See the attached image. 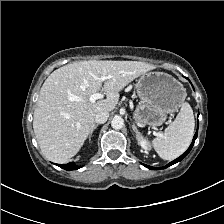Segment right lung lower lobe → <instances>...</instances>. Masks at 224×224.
<instances>
[{"mask_svg":"<svg viewBox=\"0 0 224 224\" xmlns=\"http://www.w3.org/2000/svg\"><path fill=\"white\" fill-rule=\"evenodd\" d=\"M58 166L65 170H77L81 167V166L75 165L73 162L68 163V164L58 165Z\"/></svg>","mask_w":224,"mask_h":224,"instance_id":"98d812e1","label":"right lung lower lobe"}]
</instances>
